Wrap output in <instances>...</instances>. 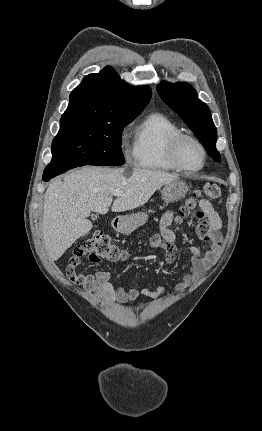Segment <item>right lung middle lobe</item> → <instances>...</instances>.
<instances>
[{"label": "right lung middle lobe", "instance_id": "1", "mask_svg": "<svg viewBox=\"0 0 262 431\" xmlns=\"http://www.w3.org/2000/svg\"><path fill=\"white\" fill-rule=\"evenodd\" d=\"M134 119L84 120L62 124L52 142V160L48 166L123 165L121 134Z\"/></svg>", "mask_w": 262, "mask_h": 431}]
</instances>
